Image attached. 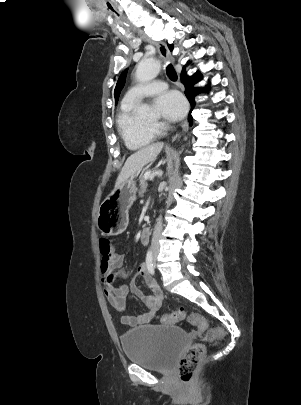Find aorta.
Wrapping results in <instances>:
<instances>
[{
	"mask_svg": "<svg viewBox=\"0 0 301 405\" xmlns=\"http://www.w3.org/2000/svg\"><path fill=\"white\" fill-rule=\"evenodd\" d=\"M161 65L157 60L143 59L136 67L135 77L139 82H148L154 79L160 72ZM140 113L149 112V107L143 104L139 107Z\"/></svg>",
	"mask_w": 301,
	"mask_h": 405,
	"instance_id": "762f6f07",
	"label": "aorta"
}]
</instances>
